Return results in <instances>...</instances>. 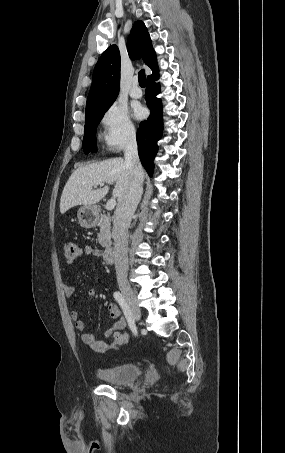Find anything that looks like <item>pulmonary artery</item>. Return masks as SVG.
<instances>
[{
    "mask_svg": "<svg viewBox=\"0 0 285 453\" xmlns=\"http://www.w3.org/2000/svg\"><path fill=\"white\" fill-rule=\"evenodd\" d=\"M143 92L142 89L139 87L138 79L134 78L132 82V87L130 89V96L133 98H140Z\"/></svg>",
    "mask_w": 285,
    "mask_h": 453,
    "instance_id": "obj_1",
    "label": "pulmonary artery"
}]
</instances>
